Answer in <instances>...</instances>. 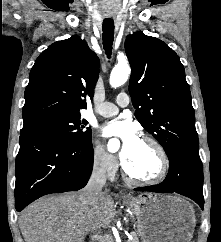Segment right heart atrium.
<instances>
[{
  "instance_id": "right-heart-atrium-1",
  "label": "right heart atrium",
  "mask_w": 221,
  "mask_h": 242,
  "mask_svg": "<svg viewBox=\"0 0 221 242\" xmlns=\"http://www.w3.org/2000/svg\"><path fill=\"white\" fill-rule=\"evenodd\" d=\"M94 168L107 175H113L119 167V161L116 156L110 154L99 143H95L91 153Z\"/></svg>"
}]
</instances>
